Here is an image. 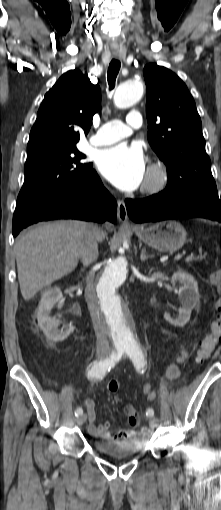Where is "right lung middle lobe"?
Here are the masks:
<instances>
[{"instance_id":"obj_1","label":"right lung middle lobe","mask_w":221,"mask_h":510,"mask_svg":"<svg viewBox=\"0 0 221 510\" xmlns=\"http://www.w3.org/2000/svg\"><path fill=\"white\" fill-rule=\"evenodd\" d=\"M76 145L62 149H42L27 154L25 181L19 193L14 217L26 216L44 200L63 192L86 178L91 163Z\"/></svg>"}]
</instances>
